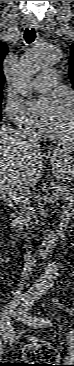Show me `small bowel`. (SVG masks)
Masks as SVG:
<instances>
[{
	"label": "small bowel",
	"mask_w": 74,
	"mask_h": 366,
	"mask_svg": "<svg viewBox=\"0 0 74 366\" xmlns=\"http://www.w3.org/2000/svg\"><path fill=\"white\" fill-rule=\"evenodd\" d=\"M56 269L55 268H53V267H51V268H49L46 272H45V274L41 277V282H43V283H50L54 278H55V276H56ZM49 347H50V345H48ZM50 349H51V351H52V353H53V350H52V348L50 347Z\"/></svg>",
	"instance_id": "small-bowel-1"
}]
</instances>
